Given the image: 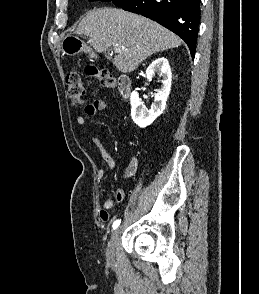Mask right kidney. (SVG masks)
<instances>
[{
	"label": "right kidney",
	"instance_id": "ca27d5eb",
	"mask_svg": "<svg viewBox=\"0 0 259 294\" xmlns=\"http://www.w3.org/2000/svg\"><path fill=\"white\" fill-rule=\"evenodd\" d=\"M155 73L162 78L160 80L162 86L155 94L154 103L152 104L151 109L148 110L143 105L137 91L131 93V117L134 123L141 128L153 123V121L163 113L170 93L172 72L166 58L160 57L149 65L146 70L147 79L151 80Z\"/></svg>",
	"mask_w": 259,
	"mask_h": 294
}]
</instances>
